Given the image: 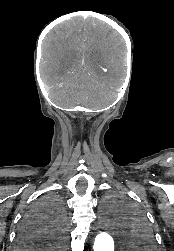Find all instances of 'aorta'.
<instances>
[{"instance_id": "762f6f07", "label": "aorta", "mask_w": 174, "mask_h": 251, "mask_svg": "<svg viewBox=\"0 0 174 251\" xmlns=\"http://www.w3.org/2000/svg\"><path fill=\"white\" fill-rule=\"evenodd\" d=\"M118 219L104 217L100 221V230L95 238L94 251H114V242L108 230L120 227Z\"/></svg>"}]
</instances>
